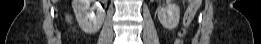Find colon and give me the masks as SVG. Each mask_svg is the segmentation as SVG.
<instances>
[{"instance_id": "colon-1", "label": "colon", "mask_w": 261, "mask_h": 44, "mask_svg": "<svg viewBox=\"0 0 261 44\" xmlns=\"http://www.w3.org/2000/svg\"><path fill=\"white\" fill-rule=\"evenodd\" d=\"M188 3H189V6L184 15L183 27L179 31L178 38L176 41L177 44L182 43L190 25H191L194 15L201 4V0H189Z\"/></svg>"}]
</instances>
